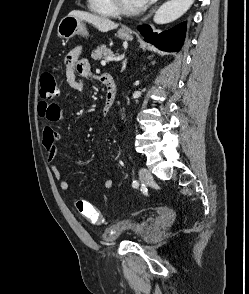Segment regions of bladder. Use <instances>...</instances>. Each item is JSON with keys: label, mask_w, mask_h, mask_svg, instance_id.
<instances>
[{"label": "bladder", "mask_w": 249, "mask_h": 294, "mask_svg": "<svg viewBox=\"0 0 249 294\" xmlns=\"http://www.w3.org/2000/svg\"><path fill=\"white\" fill-rule=\"evenodd\" d=\"M152 224V218H145L137 224L123 228L122 230H117L116 225H113L102 234V240L107 243L115 242L126 232H133L140 240H144L149 236Z\"/></svg>", "instance_id": "31cf9c89"}]
</instances>
